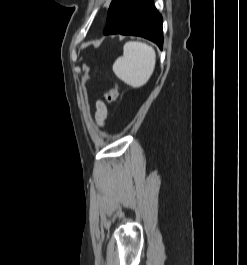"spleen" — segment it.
Returning a JSON list of instances; mask_svg holds the SVG:
<instances>
[{
    "instance_id": "spleen-1",
    "label": "spleen",
    "mask_w": 247,
    "mask_h": 265,
    "mask_svg": "<svg viewBox=\"0 0 247 265\" xmlns=\"http://www.w3.org/2000/svg\"><path fill=\"white\" fill-rule=\"evenodd\" d=\"M156 54L146 43L129 41L123 48V56L113 64L115 75L133 88L145 85L153 74Z\"/></svg>"
}]
</instances>
